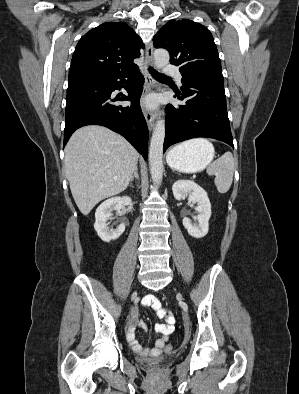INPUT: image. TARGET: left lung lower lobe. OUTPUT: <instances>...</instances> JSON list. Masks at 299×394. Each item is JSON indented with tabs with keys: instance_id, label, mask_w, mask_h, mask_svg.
Segmentation results:
<instances>
[{
	"instance_id": "obj_1",
	"label": "left lung lower lobe",
	"mask_w": 299,
	"mask_h": 394,
	"mask_svg": "<svg viewBox=\"0 0 299 394\" xmlns=\"http://www.w3.org/2000/svg\"><path fill=\"white\" fill-rule=\"evenodd\" d=\"M183 105L166 107V134L163 152L172 144L195 137H211L233 146L227 115L223 77L196 75L182 78Z\"/></svg>"
}]
</instances>
